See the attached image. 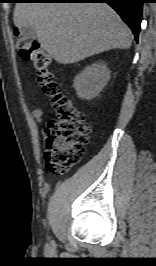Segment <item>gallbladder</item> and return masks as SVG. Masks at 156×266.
Wrapping results in <instances>:
<instances>
[{"label":"gallbladder","instance_id":"gallbladder-1","mask_svg":"<svg viewBox=\"0 0 156 266\" xmlns=\"http://www.w3.org/2000/svg\"><path fill=\"white\" fill-rule=\"evenodd\" d=\"M22 34L23 36L27 38H35L36 37V32L33 27H23L22 28Z\"/></svg>","mask_w":156,"mask_h":266}]
</instances>
